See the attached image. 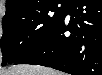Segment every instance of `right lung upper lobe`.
<instances>
[{
  "instance_id": "obj_1",
  "label": "right lung upper lobe",
  "mask_w": 102,
  "mask_h": 75,
  "mask_svg": "<svg viewBox=\"0 0 102 75\" xmlns=\"http://www.w3.org/2000/svg\"><path fill=\"white\" fill-rule=\"evenodd\" d=\"M55 0H6V14L17 12L23 9L35 8L43 3Z\"/></svg>"
}]
</instances>
